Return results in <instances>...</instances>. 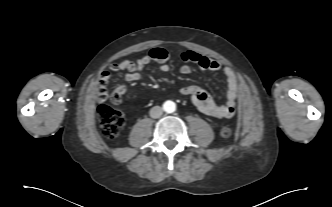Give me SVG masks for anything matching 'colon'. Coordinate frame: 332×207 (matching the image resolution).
Segmentation results:
<instances>
[{
	"label": "colon",
	"instance_id": "1",
	"mask_svg": "<svg viewBox=\"0 0 332 207\" xmlns=\"http://www.w3.org/2000/svg\"><path fill=\"white\" fill-rule=\"evenodd\" d=\"M101 104L98 106L97 115L100 122V128L102 134L109 139L118 136L122 126L125 122L124 114L104 103L106 99V92L102 90L99 94ZM110 100L116 104L120 101V95L116 92L112 93ZM221 136L228 138L231 135V129L229 127H223L221 129Z\"/></svg>",
	"mask_w": 332,
	"mask_h": 207
}]
</instances>
